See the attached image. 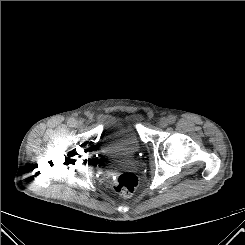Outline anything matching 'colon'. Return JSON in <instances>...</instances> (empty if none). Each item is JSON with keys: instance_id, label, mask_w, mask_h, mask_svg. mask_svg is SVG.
I'll return each mask as SVG.
<instances>
[{"instance_id": "colon-1", "label": "colon", "mask_w": 245, "mask_h": 245, "mask_svg": "<svg viewBox=\"0 0 245 245\" xmlns=\"http://www.w3.org/2000/svg\"><path fill=\"white\" fill-rule=\"evenodd\" d=\"M138 187V178L135 174L125 172L117 175L113 180L114 190L123 197H130Z\"/></svg>"}]
</instances>
